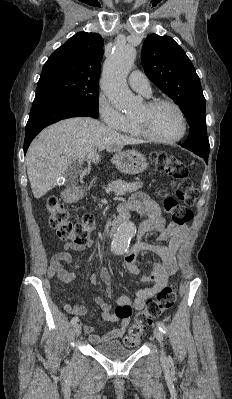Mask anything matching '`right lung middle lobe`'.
I'll use <instances>...</instances> for the list:
<instances>
[{
  "label": "right lung middle lobe",
  "instance_id": "1",
  "mask_svg": "<svg viewBox=\"0 0 232 399\" xmlns=\"http://www.w3.org/2000/svg\"><path fill=\"white\" fill-rule=\"evenodd\" d=\"M37 85L36 92L56 94L99 113L98 84L83 83L68 78H51L39 80Z\"/></svg>",
  "mask_w": 232,
  "mask_h": 399
}]
</instances>
